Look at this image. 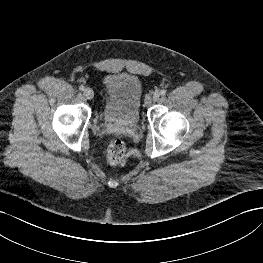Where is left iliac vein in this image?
Listing matches in <instances>:
<instances>
[{
	"instance_id": "left-iliac-vein-1",
	"label": "left iliac vein",
	"mask_w": 263,
	"mask_h": 263,
	"mask_svg": "<svg viewBox=\"0 0 263 263\" xmlns=\"http://www.w3.org/2000/svg\"><path fill=\"white\" fill-rule=\"evenodd\" d=\"M160 98V93L159 92H154L152 95V100L157 101Z\"/></svg>"
}]
</instances>
